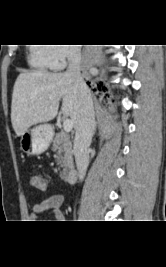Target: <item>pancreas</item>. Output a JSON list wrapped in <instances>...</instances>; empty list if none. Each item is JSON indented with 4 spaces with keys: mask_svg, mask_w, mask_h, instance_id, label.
<instances>
[{
    "mask_svg": "<svg viewBox=\"0 0 166 267\" xmlns=\"http://www.w3.org/2000/svg\"><path fill=\"white\" fill-rule=\"evenodd\" d=\"M52 150L57 152V164L60 166V174L65 176L68 170L74 167L72 142L69 135L64 132L56 134L53 140Z\"/></svg>",
    "mask_w": 166,
    "mask_h": 267,
    "instance_id": "pancreas-1",
    "label": "pancreas"
}]
</instances>
